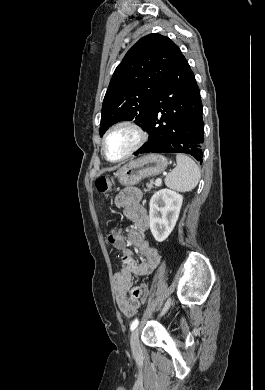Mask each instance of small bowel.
<instances>
[{
    "instance_id": "1",
    "label": "small bowel",
    "mask_w": 265,
    "mask_h": 390,
    "mask_svg": "<svg viewBox=\"0 0 265 390\" xmlns=\"http://www.w3.org/2000/svg\"><path fill=\"white\" fill-rule=\"evenodd\" d=\"M141 192L134 187L122 190L115 198L117 206L124 208L125 216L133 222L127 239L120 230L115 247L121 253V269L114 275L117 303L121 313L126 317L136 314L140 305L139 292L144 285H134V275H149L160 261L158 251L148 242L145 232L149 226V217L145 208L140 204ZM129 245L136 248L139 257L138 263Z\"/></svg>"
}]
</instances>
